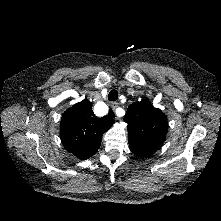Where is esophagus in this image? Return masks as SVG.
Masks as SVG:
<instances>
[{
    "label": "esophagus",
    "instance_id": "1",
    "mask_svg": "<svg viewBox=\"0 0 221 221\" xmlns=\"http://www.w3.org/2000/svg\"><path fill=\"white\" fill-rule=\"evenodd\" d=\"M119 106V103L118 102H113L111 105H110V109H111V113L114 115V119L115 120H119V117L116 115L115 113V109Z\"/></svg>",
    "mask_w": 221,
    "mask_h": 221
}]
</instances>
